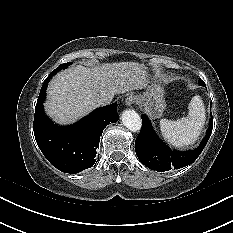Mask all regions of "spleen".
I'll use <instances>...</instances> for the list:
<instances>
[{
  "label": "spleen",
  "instance_id": "3e777b00",
  "mask_svg": "<svg viewBox=\"0 0 233 233\" xmlns=\"http://www.w3.org/2000/svg\"><path fill=\"white\" fill-rule=\"evenodd\" d=\"M187 117L175 121L168 119L160 120V130L171 145L183 148L193 145L205 124L206 113L202 99L199 95L192 98L188 106Z\"/></svg>",
  "mask_w": 233,
  "mask_h": 233
}]
</instances>
